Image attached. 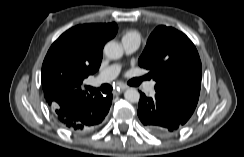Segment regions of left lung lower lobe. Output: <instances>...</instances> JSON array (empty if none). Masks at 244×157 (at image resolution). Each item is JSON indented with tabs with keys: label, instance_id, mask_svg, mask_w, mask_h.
<instances>
[{
	"label": "left lung lower lobe",
	"instance_id": "obj_1",
	"mask_svg": "<svg viewBox=\"0 0 244 157\" xmlns=\"http://www.w3.org/2000/svg\"><path fill=\"white\" fill-rule=\"evenodd\" d=\"M137 114L151 133L162 137L178 133L188 121L181 118L169 102L158 94L146 97L141 93Z\"/></svg>",
	"mask_w": 244,
	"mask_h": 157
}]
</instances>
